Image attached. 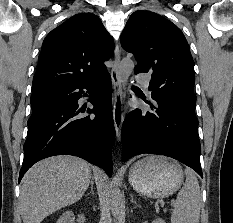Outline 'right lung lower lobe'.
Returning a JSON list of instances; mask_svg holds the SVG:
<instances>
[{
    "label": "right lung lower lobe",
    "instance_id": "98d812e1",
    "mask_svg": "<svg viewBox=\"0 0 233 223\" xmlns=\"http://www.w3.org/2000/svg\"><path fill=\"white\" fill-rule=\"evenodd\" d=\"M83 89L90 94L93 109L80 108ZM110 91L106 71L94 80L33 92L36 104L28 120L19 182L34 163L54 155L81 157L111 175L115 128Z\"/></svg>",
    "mask_w": 233,
    "mask_h": 223
}]
</instances>
